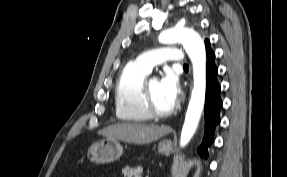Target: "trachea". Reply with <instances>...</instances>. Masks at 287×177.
I'll list each match as a JSON object with an SVG mask.
<instances>
[{
  "label": "trachea",
  "instance_id": "obj_1",
  "mask_svg": "<svg viewBox=\"0 0 287 177\" xmlns=\"http://www.w3.org/2000/svg\"><path fill=\"white\" fill-rule=\"evenodd\" d=\"M184 67H188V65L185 64Z\"/></svg>",
  "mask_w": 287,
  "mask_h": 177
}]
</instances>
